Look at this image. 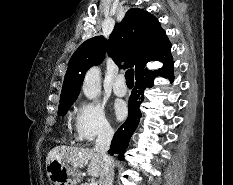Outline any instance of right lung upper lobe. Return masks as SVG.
Returning a JSON list of instances; mask_svg holds the SVG:
<instances>
[{"mask_svg": "<svg viewBox=\"0 0 233 185\" xmlns=\"http://www.w3.org/2000/svg\"><path fill=\"white\" fill-rule=\"evenodd\" d=\"M106 50L116 64L134 67L135 75L152 61L166 62L171 57V43L159 21L149 12L131 8L116 23L109 40L96 36L83 42L72 55L65 75L60 102L76 100L86 71L100 64Z\"/></svg>", "mask_w": 233, "mask_h": 185, "instance_id": "obj_1", "label": "right lung upper lobe"}]
</instances>
